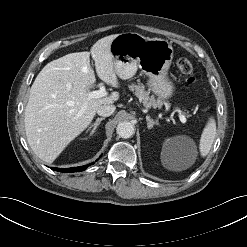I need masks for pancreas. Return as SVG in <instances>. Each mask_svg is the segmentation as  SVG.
I'll return each instance as SVG.
<instances>
[{
	"label": "pancreas",
	"mask_w": 247,
	"mask_h": 247,
	"mask_svg": "<svg viewBox=\"0 0 247 247\" xmlns=\"http://www.w3.org/2000/svg\"><path fill=\"white\" fill-rule=\"evenodd\" d=\"M129 89L134 92L135 96L142 101L145 107H157L163 102L160 99H156L154 96H149V92L145 91L143 84L138 83L131 84Z\"/></svg>",
	"instance_id": "cf45deb5"
}]
</instances>
